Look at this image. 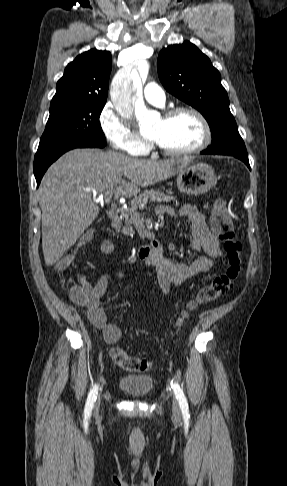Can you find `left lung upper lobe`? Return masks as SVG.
Returning <instances> with one entry per match:
<instances>
[{"label":"left lung upper lobe","mask_w":287,"mask_h":486,"mask_svg":"<svg viewBox=\"0 0 287 486\" xmlns=\"http://www.w3.org/2000/svg\"><path fill=\"white\" fill-rule=\"evenodd\" d=\"M158 75L168 92L196 108L207 120L212 143L202 154L248 157L220 73L205 54L189 41L170 45L159 53Z\"/></svg>","instance_id":"5c2ea615"}]
</instances>
